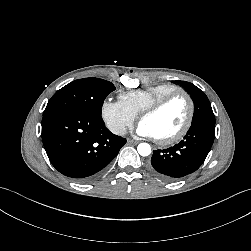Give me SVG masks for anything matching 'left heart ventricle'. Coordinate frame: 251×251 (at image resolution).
Masks as SVG:
<instances>
[{"label":"left heart ventricle","instance_id":"b2bd125f","mask_svg":"<svg viewBox=\"0 0 251 251\" xmlns=\"http://www.w3.org/2000/svg\"><path fill=\"white\" fill-rule=\"evenodd\" d=\"M188 113V104L184 97L177 96L156 114L144 118L154 138H166L175 134L184 124Z\"/></svg>","mask_w":251,"mask_h":251}]
</instances>
